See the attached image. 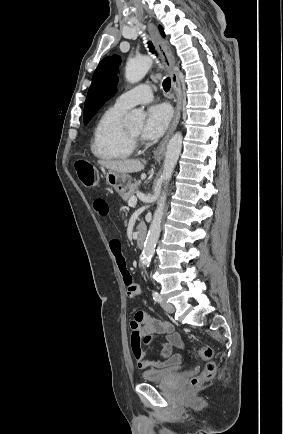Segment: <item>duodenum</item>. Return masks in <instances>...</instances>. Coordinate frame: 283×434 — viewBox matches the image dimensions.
I'll return each instance as SVG.
<instances>
[{
    "label": "duodenum",
    "instance_id": "1",
    "mask_svg": "<svg viewBox=\"0 0 283 434\" xmlns=\"http://www.w3.org/2000/svg\"><path fill=\"white\" fill-rule=\"evenodd\" d=\"M146 239V229L144 225H140L136 237V243L139 248H142Z\"/></svg>",
    "mask_w": 283,
    "mask_h": 434
}]
</instances>
